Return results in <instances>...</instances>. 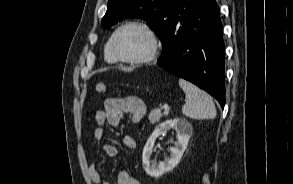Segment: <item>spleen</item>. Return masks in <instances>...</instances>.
I'll list each match as a JSON object with an SVG mask.
<instances>
[{
	"mask_svg": "<svg viewBox=\"0 0 293 184\" xmlns=\"http://www.w3.org/2000/svg\"><path fill=\"white\" fill-rule=\"evenodd\" d=\"M179 85L186 94L182 113L192 119H214L216 108L212 98L192 83L179 79Z\"/></svg>",
	"mask_w": 293,
	"mask_h": 184,
	"instance_id": "1",
	"label": "spleen"
}]
</instances>
